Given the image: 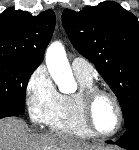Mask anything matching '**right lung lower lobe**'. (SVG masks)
<instances>
[{
	"label": "right lung lower lobe",
	"instance_id": "right-lung-lower-lobe-1",
	"mask_svg": "<svg viewBox=\"0 0 139 150\" xmlns=\"http://www.w3.org/2000/svg\"><path fill=\"white\" fill-rule=\"evenodd\" d=\"M8 116H19V114L10 110L0 111V119Z\"/></svg>",
	"mask_w": 139,
	"mask_h": 150
}]
</instances>
